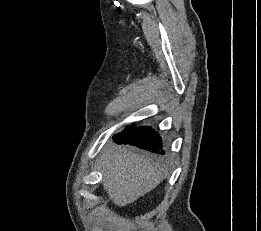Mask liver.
<instances>
[{"instance_id":"obj_1","label":"liver","mask_w":261,"mask_h":231,"mask_svg":"<svg viewBox=\"0 0 261 231\" xmlns=\"http://www.w3.org/2000/svg\"><path fill=\"white\" fill-rule=\"evenodd\" d=\"M99 168L103 187L117 206H125L157 187L161 181L151 159L127 146L113 145L105 150Z\"/></svg>"}]
</instances>
